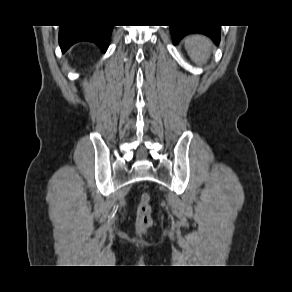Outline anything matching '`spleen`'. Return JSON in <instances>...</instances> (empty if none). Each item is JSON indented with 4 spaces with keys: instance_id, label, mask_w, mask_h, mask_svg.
Returning a JSON list of instances; mask_svg holds the SVG:
<instances>
[{
    "instance_id": "3e777b00",
    "label": "spleen",
    "mask_w": 292,
    "mask_h": 292,
    "mask_svg": "<svg viewBox=\"0 0 292 292\" xmlns=\"http://www.w3.org/2000/svg\"><path fill=\"white\" fill-rule=\"evenodd\" d=\"M185 47L190 58L197 64L204 63L211 51V42L202 35H191L185 39Z\"/></svg>"
}]
</instances>
